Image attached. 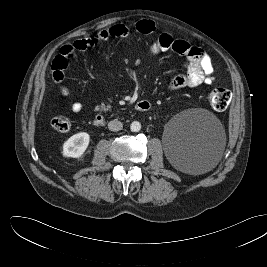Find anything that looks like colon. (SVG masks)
<instances>
[{"instance_id":"1","label":"colon","mask_w":267,"mask_h":267,"mask_svg":"<svg viewBox=\"0 0 267 267\" xmlns=\"http://www.w3.org/2000/svg\"><path fill=\"white\" fill-rule=\"evenodd\" d=\"M208 102L212 109L222 112L231 102V93L225 88H216L208 94ZM52 126L60 132H67L71 128V121L64 116H57L52 120Z\"/></svg>"}]
</instances>
